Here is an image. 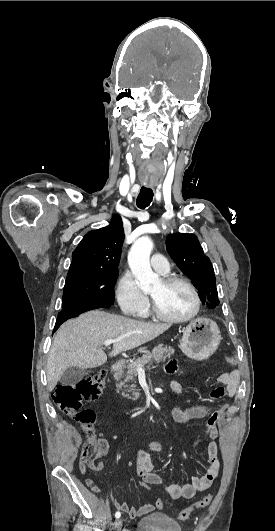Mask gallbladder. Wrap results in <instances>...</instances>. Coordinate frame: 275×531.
Listing matches in <instances>:
<instances>
[{"mask_svg": "<svg viewBox=\"0 0 275 531\" xmlns=\"http://www.w3.org/2000/svg\"><path fill=\"white\" fill-rule=\"evenodd\" d=\"M88 373H91V371L80 369V367H69V369L63 373L60 383L65 385V387H73V385H77L79 381H82Z\"/></svg>", "mask_w": 275, "mask_h": 531, "instance_id": "obj_1", "label": "gallbladder"}]
</instances>
